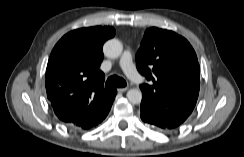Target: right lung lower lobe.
Listing matches in <instances>:
<instances>
[{
    "label": "right lung lower lobe",
    "instance_id": "1",
    "mask_svg": "<svg viewBox=\"0 0 244 157\" xmlns=\"http://www.w3.org/2000/svg\"><path fill=\"white\" fill-rule=\"evenodd\" d=\"M110 109H111V108H110ZM110 109L107 110V111H105V113L100 117V120L98 121L97 124H99L103 119H105V117H106L107 114L109 113ZM97 124H96V125H97ZM96 125H95V126H96ZM70 127H72V126H70ZM72 128H75V127H72ZM76 129H77V128H76Z\"/></svg>",
    "mask_w": 244,
    "mask_h": 157
}]
</instances>
